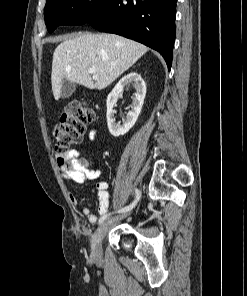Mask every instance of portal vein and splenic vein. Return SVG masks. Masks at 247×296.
Segmentation results:
<instances>
[{"label":"portal vein and splenic vein","mask_w":247,"mask_h":296,"mask_svg":"<svg viewBox=\"0 0 247 296\" xmlns=\"http://www.w3.org/2000/svg\"><path fill=\"white\" fill-rule=\"evenodd\" d=\"M88 72H89L90 74L95 75V73H96V69H95V68H89V69H88Z\"/></svg>","instance_id":"portal-vein-and-splenic-vein-1"}]
</instances>
